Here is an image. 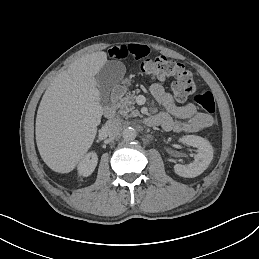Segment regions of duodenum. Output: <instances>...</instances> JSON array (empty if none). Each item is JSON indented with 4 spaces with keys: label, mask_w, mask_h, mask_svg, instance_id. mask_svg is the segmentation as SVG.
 Here are the masks:
<instances>
[{
    "label": "duodenum",
    "mask_w": 259,
    "mask_h": 259,
    "mask_svg": "<svg viewBox=\"0 0 259 259\" xmlns=\"http://www.w3.org/2000/svg\"><path fill=\"white\" fill-rule=\"evenodd\" d=\"M124 87L122 86H117L113 89L111 93V99L110 101L104 106L103 112L105 117L111 118L115 115L116 111V102L123 96L124 94ZM144 123L148 126H154L156 125L157 121L155 117H147L144 120Z\"/></svg>",
    "instance_id": "410a0bca"
}]
</instances>
